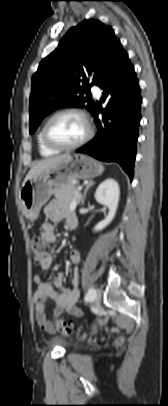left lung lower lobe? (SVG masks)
I'll use <instances>...</instances> for the list:
<instances>
[{
    "mask_svg": "<svg viewBox=\"0 0 168 406\" xmlns=\"http://www.w3.org/2000/svg\"><path fill=\"white\" fill-rule=\"evenodd\" d=\"M98 86L103 89L101 101L104 102L106 97L110 99L104 110L95 106L92 115L98 128L97 135L76 152L99 160L115 161L132 180L141 120V96L134 67L125 50L117 55ZM99 113L114 121L110 128L105 119H98Z\"/></svg>",
    "mask_w": 168,
    "mask_h": 406,
    "instance_id": "obj_1",
    "label": "left lung lower lobe"
}]
</instances>
